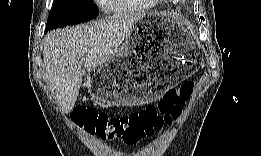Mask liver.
Returning <instances> with one entry per match:
<instances>
[{
    "mask_svg": "<svg viewBox=\"0 0 261 156\" xmlns=\"http://www.w3.org/2000/svg\"><path fill=\"white\" fill-rule=\"evenodd\" d=\"M141 15H114L95 23L55 30L44 39L46 78L64 114L74 108L85 70L109 62Z\"/></svg>",
    "mask_w": 261,
    "mask_h": 156,
    "instance_id": "1",
    "label": "liver"
}]
</instances>
